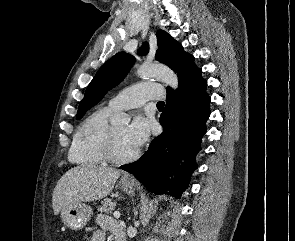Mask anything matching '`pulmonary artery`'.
Returning <instances> with one entry per match:
<instances>
[{
    "label": "pulmonary artery",
    "mask_w": 295,
    "mask_h": 241,
    "mask_svg": "<svg viewBox=\"0 0 295 241\" xmlns=\"http://www.w3.org/2000/svg\"><path fill=\"white\" fill-rule=\"evenodd\" d=\"M164 97L161 85L156 83H139L126 88L111 98L108 108L111 110H126L142 106L148 100H158Z\"/></svg>",
    "instance_id": "pulmonary-artery-1"
}]
</instances>
